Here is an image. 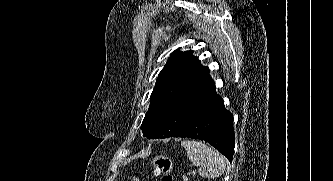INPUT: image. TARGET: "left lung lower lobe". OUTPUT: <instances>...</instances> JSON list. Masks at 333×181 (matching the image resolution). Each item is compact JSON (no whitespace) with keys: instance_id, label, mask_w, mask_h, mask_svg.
Returning <instances> with one entry per match:
<instances>
[{"instance_id":"0a47b994","label":"left lung lower lobe","mask_w":333,"mask_h":181,"mask_svg":"<svg viewBox=\"0 0 333 181\" xmlns=\"http://www.w3.org/2000/svg\"><path fill=\"white\" fill-rule=\"evenodd\" d=\"M172 137H187L208 142L232 162L235 145L233 115L224 107L223 99L216 93L206 106L192 116ZM156 138H160L159 135L152 139Z\"/></svg>"}]
</instances>
